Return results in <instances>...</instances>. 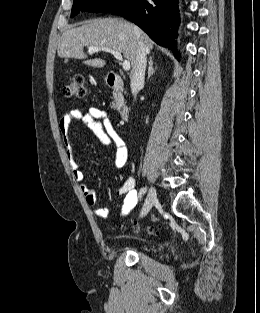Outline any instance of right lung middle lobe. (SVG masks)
<instances>
[{"mask_svg": "<svg viewBox=\"0 0 260 313\" xmlns=\"http://www.w3.org/2000/svg\"><path fill=\"white\" fill-rule=\"evenodd\" d=\"M127 0H74L71 17L81 11L111 12L120 7Z\"/></svg>", "mask_w": 260, "mask_h": 313, "instance_id": "right-lung-middle-lobe-1", "label": "right lung middle lobe"}]
</instances>
